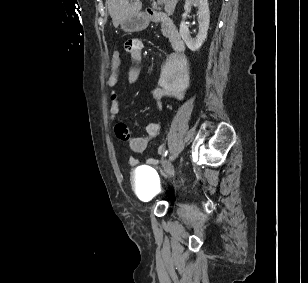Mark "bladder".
I'll return each instance as SVG.
<instances>
[{
	"instance_id": "1",
	"label": "bladder",
	"mask_w": 308,
	"mask_h": 283,
	"mask_svg": "<svg viewBox=\"0 0 308 283\" xmlns=\"http://www.w3.org/2000/svg\"><path fill=\"white\" fill-rule=\"evenodd\" d=\"M132 185L144 201H152L162 194V187L154 169L138 167L132 172Z\"/></svg>"
}]
</instances>
